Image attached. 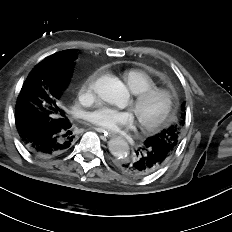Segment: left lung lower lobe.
Returning a JSON list of instances; mask_svg holds the SVG:
<instances>
[{
	"mask_svg": "<svg viewBox=\"0 0 232 232\" xmlns=\"http://www.w3.org/2000/svg\"><path fill=\"white\" fill-rule=\"evenodd\" d=\"M170 157V152L164 147L146 140L135 151L132 160L119 162L118 166L124 173L130 176L141 177L161 169Z\"/></svg>",
	"mask_w": 232,
	"mask_h": 232,
	"instance_id": "0a47b994",
	"label": "left lung lower lobe"
}]
</instances>
